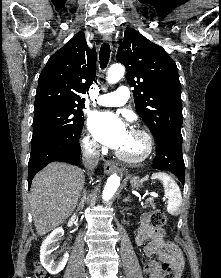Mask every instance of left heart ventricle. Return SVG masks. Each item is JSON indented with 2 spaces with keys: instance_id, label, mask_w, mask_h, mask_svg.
Instances as JSON below:
<instances>
[{
  "instance_id": "left-heart-ventricle-1",
  "label": "left heart ventricle",
  "mask_w": 221,
  "mask_h": 278,
  "mask_svg": "<svg viewBox=\"0 0 221 278\" xmlns=\"http://www.w3.org/2000/svg\"><path fill=\"white\" fill-rule=\"evenodd\" d=\"M119 151L130 157H138L144 151V141L139 135L129 133L127 142Z\"/></svg>"
}]
</instances>
